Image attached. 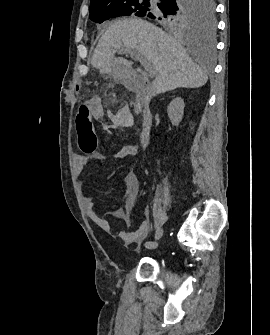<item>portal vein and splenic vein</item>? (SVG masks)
<instances>
[{
    "mask_svg": "<svg viewBox=\"0 0 270 335\" xmlns=\"http://www.w3.org/2000/svg\"><path fill=\"white\" fill-rule=\"evenodd\" d=\"M119 54H133V56H136L138 58V61L141 62V65L143 66V69L145 71H149L148 75H149V79L153 80L154 79V75L155 72L152 70L153 66H152V62L145 57V55L143 53H141L140 51L135 52V50H129L127 47H124L122 50H118ZM123 62H125L126 64V60H123Z\"/></svg>",
    "mask_w": 270,
    "mask_h": 335,
    "instance_id": "1",
    "label": "portal vein and splenic vein"
}]
</instances>
